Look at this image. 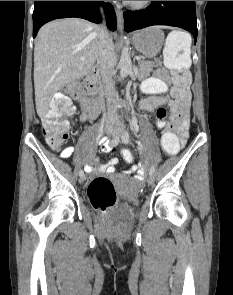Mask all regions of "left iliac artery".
I'll list each match as a JSON object with an SVG mask.
<instances>
[{"label":"left iliac artery","mask_w":233,"mask_h":295,"mask_svg":"<svg viewBox=\"0 0 233 295\" xmlns=\"http://www.w3.org/2000/svg\"><path fill=\"white\" fill-rule=\"evenodd\" d=\"M122 142L127 144L129 142V132L125 131L122 136ZM149 173L152 175L154 173V168H150Z\"/></svg>","instance_id":"left-iliac-artery-1"}]
</instances>
